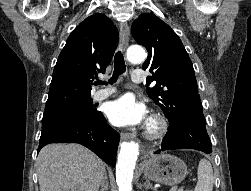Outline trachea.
<instances>
[{"label": "trachea", "instance_id": "obj_1", "mask_svg": "<svg viewBox=\"0 0 251 191\" xmlns=\"http://www.w3.org/2000/svg\"><path fill=\"white\" fill-rule=\"evenodd\" d=\"M125 72H126V66H125V62H124V57H123L121 51H118L114 57L113 76L110 78V80H108V82H103L102 80H97L95 82V84L96 85L106 84V86H107V84H114L117 81L118 77Z\"/></svg>", "mask_w": 251, "mask_h": 191}]
</instances>
